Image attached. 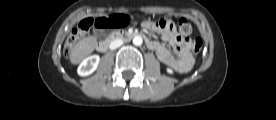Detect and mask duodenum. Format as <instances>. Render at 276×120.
Masks as SVG:
<instances>
[{
    "label": "duodenum",
    "instance_id": "duodenum-1",
    "mask_svg": "<svg viewBox=\"0 0 276 120\" xmlns=\"http://www.w3.org/2000/svg\"><path fill=\"white\" fill-rule=\"evenodd\" d=\"M138 36H143V35L140 33L116 32V33H113L111 36H109L107 39L100 41L97 44V49L99 51H106L113 41H116L119 39L128 40ZM146 43L147 45L149 44L148 39L146 40Z\"/></svg>",
    "mask_w": 276,
    "mask_h": 120
}]
</instances>
